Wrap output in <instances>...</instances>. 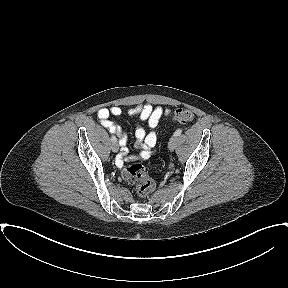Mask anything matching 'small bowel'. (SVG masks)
Instances as JSON below:
<instances>
[{"label":"small bowel","instance_id":"c3829d8e","mask_svg":"<svg viewBox=\"0 0 288 288\" xmlns=\"http://www.w3.org/2000/svg\"><path fill=\"white\" fill-rule=\"evenodd\" d=\"M123 110L119 106H111L109 108H101L98 111L100 123L107 128L111 133L117 135L121 145V155L117 159V165L120 167L124 161H133L135 156H128L126 148L128 136L122 128L110 119V116H120ZM127 115L130 117H138L140 121H145L148 124L149 131H146L142 126L137 125L135 129V147L140 149V157L148 159L153 155L157 145V134L155 128L158 126L160 119L168 115L167 110L161 107H152L150 104L138 105L127 110Z\"/></svg>","mask_w":288,"mask_h":288}]
</instances>
